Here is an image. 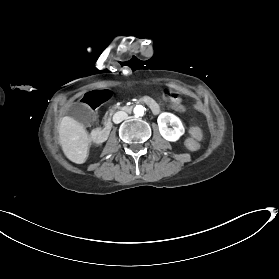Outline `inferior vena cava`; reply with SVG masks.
Here are the masks:
<instances>
[{
    "label": "inferior vena cava",
    "instance_id": "inferior-vena-cava-1",
    "mask_svg": "<svg viewBox=\"0 0 279 279\" xmlns=\"http://www.w3.org/2000/svg\"><path fill=\"white\" fill-rule=\"evenodd\" d=\"M127 114L123 111H119L117 112L114 117H113V121L115 123H120L122 120L127 119Z\"/></svg>",
    "mask_w": 279,
    "mask_h": 279
}]
</instances>
